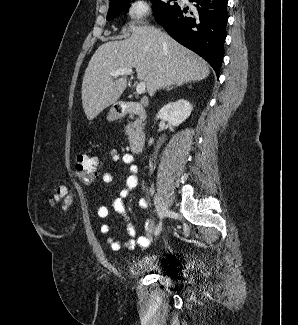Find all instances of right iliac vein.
I'll return each instance as SVG.
<instances>
[{"mask_svg":"<svg viewBox=\"0 0 298 325\" xmlns=\"http://www.w3.org/2000/svg\"><path fill=\"white\" fill-rule=\"evenodd\" d=\"M154 202H155V205H156V210H157V213H158V217L160 218V220H162L164 215H165V206H164L161 198L159 197V195H157V194L155 195Z\"/></svg>","mask_w":298,"mask_h":325,"instance_id":"right-iliac-vein-1","label":"right iliac vein"}]
</instances>
